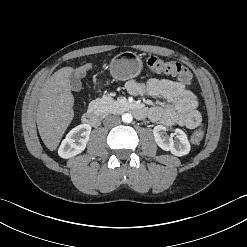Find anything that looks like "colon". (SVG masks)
Masks as SVG:
<instances>
[{
  "mask_svg": "<svg viewBox=\"0 0 247 247\" xmlns=\"http://www.w3.org/2000/svg\"><path fill=\"white\" fill-rule=\"evenodd\" d=\"M147 66L153 73L169 74L177 77L185 84H191L192 75L189 69L179 62L164 61L158 57L152 56L147 60ZM204 133V127L202 125H198L191 134V141L195 144L200 143L204 137Z\"/></svg>",
  "mask_w": 247,
  "mask_h": 247,
  "instance_id": "obj_1",
  "label": "colon"
}]
</instances>
